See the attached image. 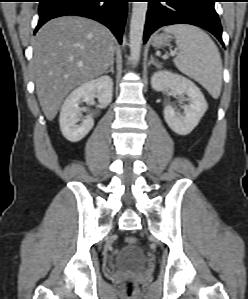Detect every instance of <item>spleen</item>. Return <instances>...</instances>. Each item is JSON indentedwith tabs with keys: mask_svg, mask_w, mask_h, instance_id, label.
I'll return each mask as SVG.
<instances>
[{
	"mask_svg": "<svg viewBox=\"0 0 248 299\" xmlns=\"http://www.w3.org/2000/svg\"><path fill=\"white\" fill-rule=\"evenodd\" d=\"M175 36L179 53L173 62L217 99L222 87V60L214 41L200 28L176 24L164 28Z\"/></svg>",
	"mask_w": 248,
	"mask_h": 299,
	"instance_id": "1",
	"label": "spleen"
}]
</instances>
